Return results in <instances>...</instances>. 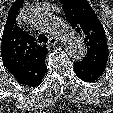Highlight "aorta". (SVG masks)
Instances as JSON below:
<instances>
[{
  "mask_svg": "<svg viewBox=\"0 0 113 113\" xmlns=\"http://www.w3.org/2000/svg\"><path fill=\"white\" fill-rule=\"evenodd\" d=\"M42 21L51 34L62 39L67 52L73 59L81 60L85 56L86 45L81 36L70 25L50 13L42 15Z\"/></svg>",
  "mask_w": 113,
  "mask_h": 113,
  "instance_id": "obj_1",
  "label": "aorta"
}]
</instances>
